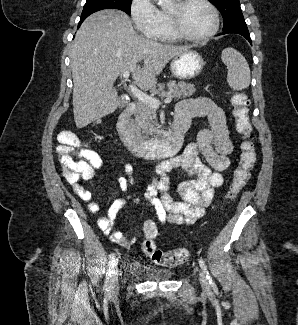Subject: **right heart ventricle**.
<instances>
[{
  "label": "right heart ventricle",
  "mask_w": 298,
  "mask_h": 325,
  "mask_svg": "<svg viewBox=\"0 0 298 325\" xmlns=\"http://www.w3.org/2000/svg\"><path fill=\"white\" fill-rule=\"evenodd\" d=\"M157 10H158V17H159L161 26L165 29V32H166V27H167L166 14H165L163 8H160V9H157ZM164 41L174 42L175 39L171 36V34L166 32L165 36H164Z\"/></svg>",
  "instance_id": "1"
}]
</instances>
